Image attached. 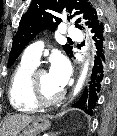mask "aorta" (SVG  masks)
Masks as SVG:
<instances>
[{
    "mask_svg": "<svg viewBox=\"0 0 117 136\" xmlns=\"http://www.w3.org/2000/svg\"><path fill=\"white\" fill-rule=\"evenodd\" d=\"M88 66H89V63L87 61L83 66L80 77H79V79L77 81V84H76V86L74 88L73 96H76L79 93V91L81 90L82 85H83V83H84V81H85V79L87 77V73H88V69H89Z\"/></svg>",
    "mask_w": 117,
    "mask_h": 136,
    "instance_id": "762f6f07",
    "label": "aorta"
}]
</instances>
